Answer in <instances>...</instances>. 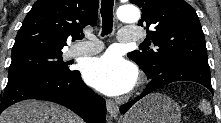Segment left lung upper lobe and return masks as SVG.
Here are the masks:
<instances>
[{
	"label": "left lung upper lobe",
	"instance_id": "obj_1",
	"mask_svg": "<svg viewBox=\"0 0 221 123\" xmlns=\"http://www.w3.org/2000/svg\"><path fill=\"white\" fill-rule=\"evenodd\" d=\"M141 8L139 26H146L147 40L155 50L133 51L128 57L147 74L179 61L208 64L207 49L196 11L184 0H130ZM150 27V30H149Z\"/></svg>",
	"mask_w": 221,
	"mask_h": 123
}]
</instances>
